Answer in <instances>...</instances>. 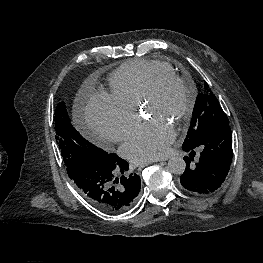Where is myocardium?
Listing matches in <instances>:
<instances>
[{
  "label": "myocardium",
  "instance_id": "obj_1",
  "mask_svg": "<svg viewBox=\"0 0 263 263\" xmlns=\"http://www.w3.org/2000/svg\"><path fill=\"white\" fill-rule=\"evenodd\" d=\"M168 83L179 84L187 93L188 100L186 107L175 120V125L180 126L186 123L193 114L197 102V90L187 79L176 73H165L158 75L149 85L141 98L140 106H145L148 102L156 98Z\"/></svg>",
  "mask_w": 263,
  "mask_h": 263
}]
</instances>
